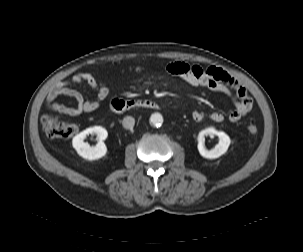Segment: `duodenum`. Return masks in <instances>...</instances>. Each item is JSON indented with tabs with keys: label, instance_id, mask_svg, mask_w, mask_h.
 Instances as JSON below:
<instances>
[{
	"label": "duodenum",
	"instance_id": "duodenum-1",
	"mask_svg": "<svg viewBox=\"0 0 303 252\" xmlns=\"http://www.w3.org/2000/svg\"><path fill=\"white\" fill-rule=\"evenodd\" d=\"M160 107V104L153 100H140V99H131V100H117L112 106V111L116 114H123L124 112L137 108H145L155 110Z\"/></svg>",
	"mask_w": 303,
	"mask_h": 252
}]
</instances>
